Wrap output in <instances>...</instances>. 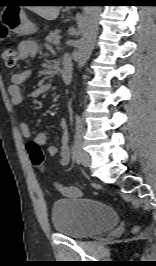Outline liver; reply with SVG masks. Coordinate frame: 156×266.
Here are the masks:
<instances>
[{"mask_svg":"<svg viewBox=\"0 0 156 266\" xmlns=\"http://www.w3.org/2000/svg\"><path fill=\"white\" fill-rule=\"evenodd\" d=\"M60 6H29L28 9L46 20H55L60 12Z\"/></svg>","mask_w":156,"mask_h":266,"instance_id":"obj_1","label":"liver"}]
</instances>
